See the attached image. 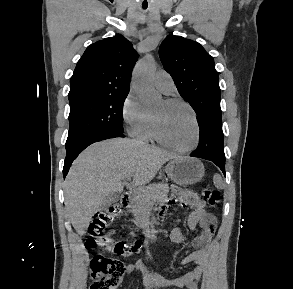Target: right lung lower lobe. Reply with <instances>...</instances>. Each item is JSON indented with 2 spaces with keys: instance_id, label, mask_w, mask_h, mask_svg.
<instances>
[{
  "instance_id": "98d812e1",
  "label": "right lung lower lobe",
  "mask_w": 293,
  "mask_h": 289,
  "mask_svg": "<svg viewBox=\"0 0 293 289\" xmlns=\"http://www.w3.org/2000/svg\"><path fill=\"white\" fill-rule=\"evenodd\" d=\"M115 137H125L124 133L121 131L116 130H107V131H101L92 135H89L87 137H84L80 140H77L70 145H66V158L64 162V168H63V176L67 175L69 168L74 161V159L77 157L79 153H81L86 147L91 145L92 143L102 141L109 138H115Z\"/></svg>"
}]
</instances>
